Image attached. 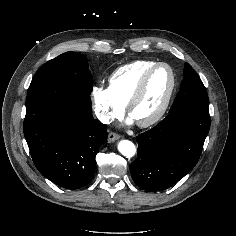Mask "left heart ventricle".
Segmentation results:
<instances>
[{"label":"left heart ventricle","instance_id":"obj_1","mask_svg":"<svg viewBox=\"0 0 236 236\" xmlns=\"http://www.w3.org/2000/svg\"><path fill=\"white\" fill-rule=\"evenodd\" d=\"M171 82L167 68L157 69L150 77L145 91L131 111V118L136 122L151 118L161 107Z\"/></svg>","mask_w":236,"mask_h":236}]
</instances>
